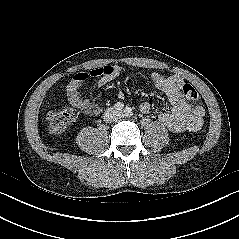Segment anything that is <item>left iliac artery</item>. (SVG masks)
Segmentation results:
<instances>
[{"label":"left iliac artery","instance_id":"1","mask_svg":"<svg viewBox=\"0 0 239 239\" xmlns=\"http://www.w3.org/2000/svg\"><path fill=\"white\" fill-rule=\"evenodd\" d=\"M124 113L126 116H131L132 115V109L130 107H126L124 110Z\"/></svg>","mask_w":239,"mask_h":239}]
</instances>
